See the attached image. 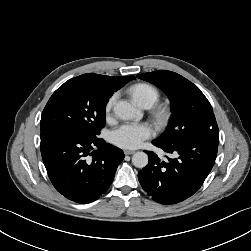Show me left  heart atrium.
<instances>
[{
  "label": "left heart atrium",
  "mask_w": 251,
  "mask_h": 251,
  "mask_svg": "<svg viewBox=\"0 0 251 251\" xmlns=\"http://www.w3.org/2000/svg\"><path fill=\"white\" fill-rule=\"evenodd\" d=\"M153 134L152 126L147 123H125L112 132V140L119 147L133 149Z\"/></svg>",
  "instance_id": "1"
}]
</instances>
